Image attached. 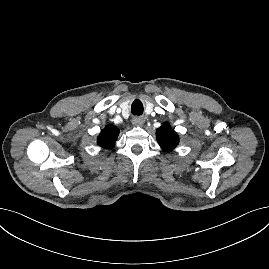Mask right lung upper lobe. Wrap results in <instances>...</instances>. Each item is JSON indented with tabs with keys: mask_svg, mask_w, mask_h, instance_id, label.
Instances as JSON below:
<instances>
[{
	"mask_svg": "<svg viewBox=\"0 0 269 269\" xmlns=\"http://www.w3.org/2000/svg\"><path fill=\"white\" fill-rule=\"evenodd\" d=\"M119 135V129L113 125H107L98 136V144L107 149H111L114 147V144Z\"/></svg>",
	"mask_w": 269,
	"mask_h": 269,
	"instance_id": "1",
	"label": "right lung upper lobe"
}]
</instances>
